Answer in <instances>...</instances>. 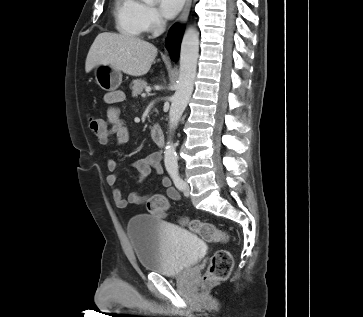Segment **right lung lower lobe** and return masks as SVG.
Here are the masks:
<instances>
[{"label":"right lung lower lobe","instance_id":"1","mask_svg":"<svg viewBox=\"0 0 363 317\" xmlns=\"http://www.w3.org/2000/svg\"><path fill=\"white\" fill-rule=\"evenodd\" d=\"M182 32L177 26H173L168 34V38L166 39V43L173 50V57H177L179 53L180 41H181Z\"/></svg>","mask_w":363,"mask_h":317}]
</instances>
